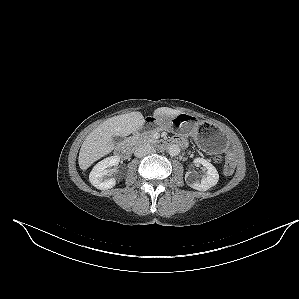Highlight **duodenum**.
<instances>
[{
  "instance_id": "1",
  "label": "duodenum",
  "mask_w": 299,
  "mask_h": 299,
  "mask_svg": "<svg viewBox=\"0 0 299 299\" xmlns=\"http://www.w3.org/2000/svg\"><path fill=\"white\" fill-rule=\"evenodd\" d=\"M173 144L183 146L184 141L181 140V139H174L172 141H165L164 140V141H160L158 146L160 148H166V147H168L170 145H173ZM131 151H132V146L129 142L122 143L116 148V154L121 158H127L131 154Z\"/></svg>"
}]
</instances>
